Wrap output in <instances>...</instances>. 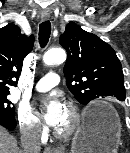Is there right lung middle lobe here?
<instances>
[{"mask_svg":"<svg viewBox=\"0 0 130 153\" xmlns=\"http://www.w3.org/2000/svg\"><path fill=\"white\" fill-rule=\"evenodd\" d=\"M8 92H0V114L14 119L15 107H12V103L7 99Z\"/></svg>","mask_w":130,"mask_h":153,"instance_id":"1","label":"right lung middle lobe"}]
</instances>
